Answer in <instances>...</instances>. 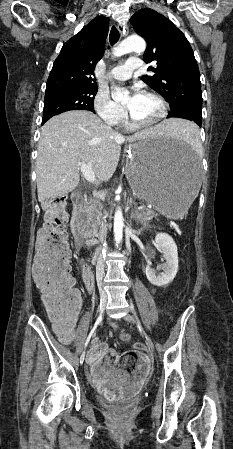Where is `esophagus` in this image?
<instances>
[{
	"label": "esophagus",
	"mask_w": 233,
	"mask_h": 449,
	"mask_svg": "<svg viewBox=\"0 0 233 449\" xmlns=\"http://www.w3.org/2000/svg\"><path fill=\"white\" fill-rule=\"evenodd\" d=\"M117 28H118L119 32L121 34H123V35L127 34L128 31H129L128 26L126 24H123V23H119Z\"/></svg>",
	"instance_id": "esophagus-1"
}]
</instances>
